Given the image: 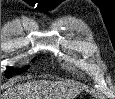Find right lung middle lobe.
Returning <instances> with one entry per match:
<instances>
[{"label":"right lung middle lobe","mask_w":115,"mask_h":99,"mask_svg":"<svg viewBox=\"0 0 115 99\" xmlns=\"http://www.w3.org/2000/svg\"><path fill=\"white\" fill-rule=\"evenodd\" d=\"M28 68H29V66H27L25 68H22V69H13V68L8 67L7 76L9 77L12 74H16V73H19V72H24Z\"/></svg>","instance_id":"dd1d6c3e"}]
</instances>
